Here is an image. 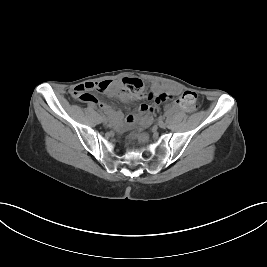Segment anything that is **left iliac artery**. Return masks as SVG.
Instances as JSON below:
<instances>
[{
    "label": "left iliac artery",
    "instance_id": "left-iliac-artery-1",
    "mask_svg": "<svg viewBox=\"0 0 267 267\" xmlns=\"http://www.w3.org/2000/svg\"><path fill=\"white\" fill-rule=\"evenodd\" d=\"M163 121H165L166 123H169L170 122V118L169 117L163 118Z\"/></svg>",
    "mask_w": 267,
    "mask_h": 267
}]
</instances>
